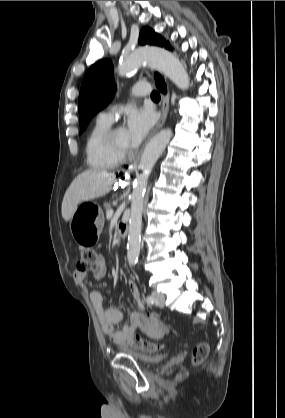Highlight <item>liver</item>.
<instances>
[{
	"label": "liver",
	"instance_id": "1",
	"mask_svg": "<svg viewBox=\"0 0 285 418\" xmlns=\"http://www.w3.org/2000/svg\"><path fill=\"white\" fill-rule=\"evenodd\" d=\"M115 182V175L105 170L90 169L79 174L67 189L62 201V217L69 221L78 205L106 195Z\"/></svg>",
	"mask_w": 285,
	"mask_h": 418
}]
</instances>
